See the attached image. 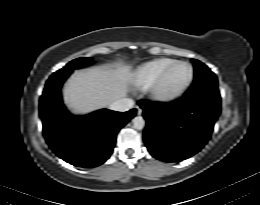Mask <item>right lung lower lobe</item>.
Here are the masks:
<instances>
[{
	"mask_svg": "<svg viewBox=\"0 0 260 205\" xmlns=\"http://www.w3.org/2000/svg\"><path fill=\"white\" fill-rule=\"evenodd\" d=\"M71 71L55 72L46 82L40 98L43 133L52 151L78 167L92 168L112 154L118 131L134 117L136 110L116 112L102 109L86 116H73L64 107L60 89Z\"/></svg>",
	"mask_w": 260,
	"mask_h": 205,
	"instance_id": "right-lung-lower-lobe-1",
	"label": "right lung lower lobe"
}]
</instances>
